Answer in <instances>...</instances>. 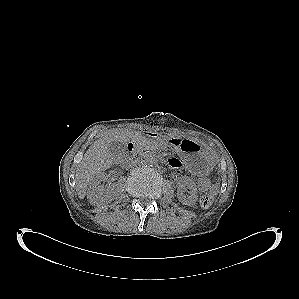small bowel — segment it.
Here are the masks:
<instances>
[{
    "label": "small bowel",
    "mask_w": 299,
    "mask_h": 299,
    "mask_svg": "<svg viewBox=\"0 0 299 299\" xmlns=\"http://www.w3.org/2000/svg\"><path fill=\"white\" fill-rule=\"evenodd\" d=\"M170 164L173 167H179L180 166V162L177 159H171Z\"/></svg>",
    "instance_id": "c3829d8e"
}]
</instances>
